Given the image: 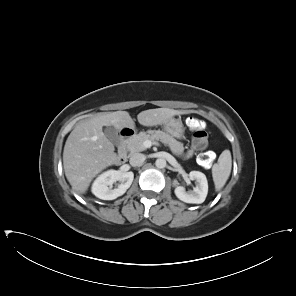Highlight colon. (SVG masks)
<instances>
[{
    "label": "colon",
    "instance_id": "obj_1",
    "mask_svg": "<svg viewBox=\"0 0 296 296\" xmlns=\"http://www.w3.org/2000/svg\"><path fill=\"white\" fill-rule=\"evenodd\" d=\"M190 128L194 131L193 135V148L204 149L208 142L207 132L205 131L204 124L198 120H190L188 122ZM210 154H201L200 161L205 163L208 161Z\"/></svg>",
    "mask_w": 296,
    "mask_h": 296
}]
</instances>
